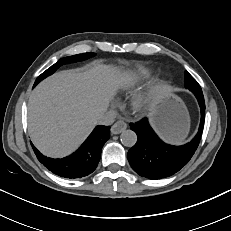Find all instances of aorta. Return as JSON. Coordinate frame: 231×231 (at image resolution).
I'll list each match as a JSON object with an SVG mask.
<instances>
[{
  "mask_svg": "<svg viewBox=\"0 0 231 231\" xmlns=\"http://www.w3.org/2000/svg\"><path fill=\"white\" fill-rule=\"evenodd\" d=\"M121 143L126 147H132L137 142V135L132 130H124L120 135Z\"/></svg>",
  "mask_w": 231,
  "mask_h": 231,
  "instance_id": "aorta-1",
  "label": "aorta"
}]
</instances>
